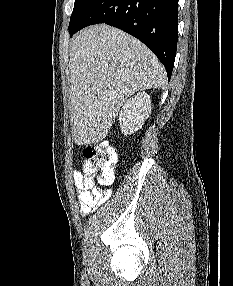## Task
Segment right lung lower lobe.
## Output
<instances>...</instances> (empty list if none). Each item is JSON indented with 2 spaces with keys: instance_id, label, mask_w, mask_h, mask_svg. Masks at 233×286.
Instances as JSON below:
<instances>
[{
  "instance_id": "1",
  "label": "right lung lower lobe",
  "mask_w": 233,
  "mask_h": 286,
  "mask_svg": "<svg viewBox=\"0 0 233 286\" xmlns=\"http://www.w3.org/2000/svg\"><path fill=\"white\" fill-rule=\"evenodd\" d=\"M97 23L117 27L148 46L170 79L177 49L178 0H91L70 36Z\"/></svg>"
}]
</instances>
